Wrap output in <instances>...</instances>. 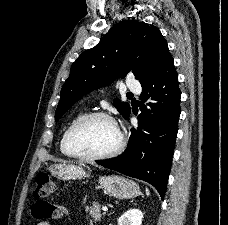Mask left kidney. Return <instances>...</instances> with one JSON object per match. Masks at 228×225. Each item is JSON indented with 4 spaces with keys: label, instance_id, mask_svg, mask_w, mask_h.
<instances>
[{
    "label": "left kidney",
    "instance_id": "1",
    "mask_svg": "<svg viewBox=\"0 0 228 225\" xmlns=\"http://www.w3.org/2000/svg\"><path fill=\"white\" fill-rule=\"evenodd\" d=\"M143 213L139 209H129L118 219V225H142Z\"/></svg>",
    "mask_w": 228,
    "mask_h": 225
}]
</instances>
